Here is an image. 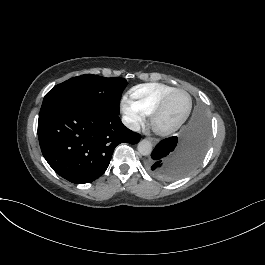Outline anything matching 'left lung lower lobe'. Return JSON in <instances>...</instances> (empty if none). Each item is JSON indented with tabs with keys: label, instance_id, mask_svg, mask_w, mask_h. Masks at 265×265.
I'll use <instances>...</instances> for the list:
<instances>
[{
	"label": "left lung lower lobe",
	"instance_id": "obj_1",
	"mask_svg": "<svg viewBox=\"0 0 265 265\" xmlns=\"http://www.w3.org/2000/svg\"><path fill=\"white\" fill-rule=\"evenodd\" d=\"M209 142V122L197 106L179 136L161 140L146 161L147 171L155 178L171 181L194 170L202 161Z\"/></svg>",
	"mask_w": 265,
	"mask_h": 265
}]
</instances>
